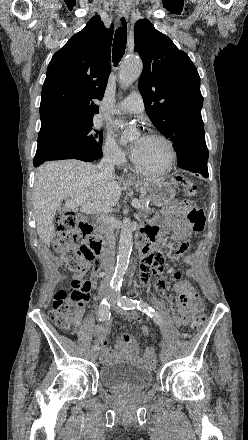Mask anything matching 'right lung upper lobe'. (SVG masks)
I'll list each match as a JSON object with an SVG mask.
<instances>
[{
    "label": "right lung upper lobe",
    "mask_w": 248,
    "mask_h": 440,
    "mask_svg": "<svg viewBox=\"0 0 248 440\" xmlns=\"http://www.w3.org/2000/svg\"><path fill=\"white\" fill-rule=\"evenodd\" d=\"M113 26L105 28L100 16L57 51L48 66L40 104L39 133L93 122L111 71Z\"/></svg>",
    "instance_id": "cb5924a9"
}]
</instances>
